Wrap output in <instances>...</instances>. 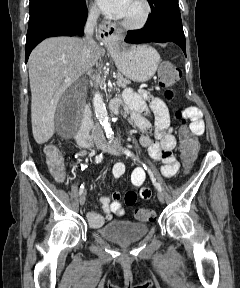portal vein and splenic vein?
<instances>
[{
    "mask_svg": "<svg viewBox=\"0 0 240 288\" xmlns=\"http://www.w3.org/2000/svg\"><path fill=\"white\" fill-rule=\"evenodd\" d=\"M115 77V76H114ZM70 79L69 78H67V79H65V81H69Z\"/></svg>",
    "mask_w": 240,
    "mask_h": 288,
    "instance_id": "portal-vein-and-splenic-vein-1",
    "label": "portal vein and splenic vein"
}]
</instances>
